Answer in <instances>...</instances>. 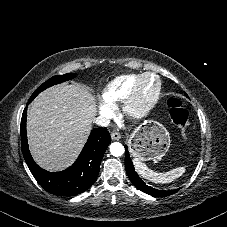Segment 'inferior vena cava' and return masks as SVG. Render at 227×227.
<instances>
[{"label":"inferior vena cava","instance_id":"602c4592","mask_svg":"<svg viewBox=\"0 0 227 227\" xmlns=\"http://www.w3.org/2000/svg\"><path fill=\"white\" fill-rule=\"evenodd\" d=\"M110 123L109 118L105 117V116H98L95 119V124L101 127H107L108 124Z\"/></svg>","mask_w":227,"mask_h":227}]
</instances>
